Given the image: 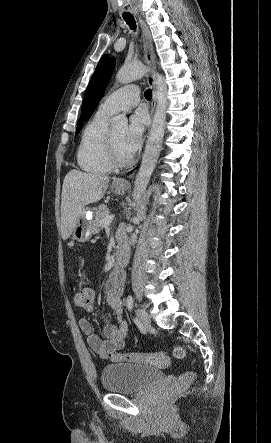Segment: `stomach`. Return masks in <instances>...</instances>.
Masks as SVG:
<instances>
[{
    "mask_svg": "<svg viewBox=\"0 0 271 443\" xmlns=\"http://www.w3.org/2000/svg\"><path fill=\"white\" fill-rule=\"evenodd\" d=\"M117 182H122V180H114L111 190L114 194L122 196V194H125V186H115ZM122 184H124V182H122ZM92 218L93 212H91V210L83 212L82 216L77 220V223H75V227L71 233L72 239H77V241H88V239H90L93 233L92 222H90Z\"/></svg>",
    "mask_w": 271,
    "mask_h": 443,
    "instance_id": "1",
    "label": "stomach"
}]
</instances>
